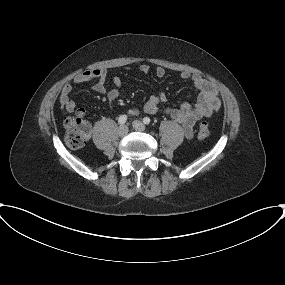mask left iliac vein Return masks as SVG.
<instances>
[{
    "label": "left iliac vein",
    "instance_id": "left-iliac-vein-1",
    "mask_svg": "<svg viewBox=\"0 0 285 285\" xmlns=\"http://www.w3.org/2000/svg\"><path fill=\"white\" fill-rule=\"evenodd\" d=\"M132 125L137 131H144L146 129L145 125L139 120L133 121Z\"/></svg>",
    "mask_w": 285,
    "mask_h": 285
}]
</instances>
